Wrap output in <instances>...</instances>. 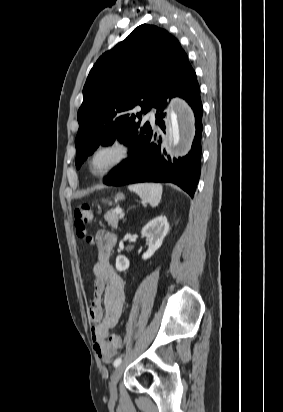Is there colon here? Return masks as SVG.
<instances>
[{
  "label": "colon",
  "instance_id": "colon-1",
  "mask_svg": "<svg viewBox=\"0 0 283 412\" xmlns=\"http://www.w3.org/2000/svg\"><path fill=\"white\" fill-rule=\"evenodd\" d=\"M74 220L76 231L79 237L90 239L88 228L94 221V213L89 204H80L74 210ZM122 346L121 339L118 335H111L103 344L104 352L115 351Z\"/></svg>",
  "mask_w": 283,
  "mask_h": 412
}]
</instances>
